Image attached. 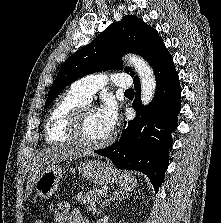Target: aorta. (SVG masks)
Instances as JSON below:
<instances>
[{"mask_svg": "<svg viewBox=\"0 0 221 223\" xmlns=\"http://www.w3.org/2000/svg\"><path fill=\"white\" fill-rule=\"evenodd\" d=\"M125 59L137 72L141 83V101L143 105H148L156 91V79L153 71L149 64L137 55L129 54Z\"/></svg>", "mask_w": 221, "mask_h": 223, "instance_id": "aorta-1", "label": "aorta"}]
</instances>
